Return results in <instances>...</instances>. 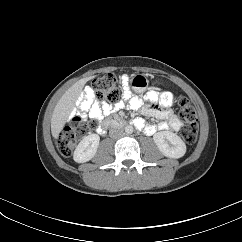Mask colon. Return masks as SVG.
<instances>
[{
    "label": "colon",
    "mask_w": 242,
    "mask_h": 242,
    "mask_svg": "<svg viewBox=\"0 0 242 242\" xmlns=\"http://www.w3.org/2000/svg\"><path fill=\"white\" fill-rule=\"evenodd\" d=\"M95 100L103 102H115L119 99L120 88L115 75L108 73L99 77L93 84ZM179 107V115L185 124L181 135L188 145H193L197 140L198 125L197 115L189 100L181 94L176 95ZM88 132V124L85 116L75 115L66 129L62 130L57 139V147L61 155L69 156L73 152L79 137Z\"/></svg>",
    "instance_id": "colon-1"
}]
</instances>
